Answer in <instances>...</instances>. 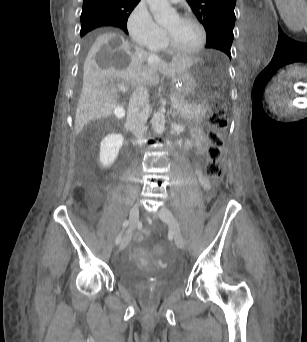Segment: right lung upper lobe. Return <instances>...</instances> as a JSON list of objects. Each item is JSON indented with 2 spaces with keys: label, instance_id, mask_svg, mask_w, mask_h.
I'll use <instances>...</instances> for the list:
<instances>
[{
  "label": "right lung upper lobe",
  "instance_id": "right-lung-upper-lobe-1",
  "mask_svg": "<svg viewBox=\"0 0 307 342\" xmlns=\"http://www.w3.org/2000/svg\"><path fill=\"white\" fill-rule=\"evenodd\" d=\"M140 0H83L82 11H96L108 14L113 21L107 26H114L127 31V20Z\"/></svg>",
  "mask_w": 307,
  "mask_h": 342
}]
</instances>
